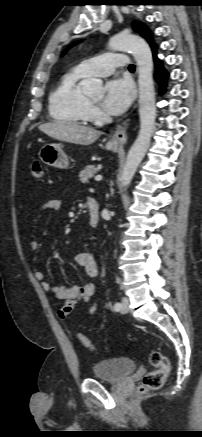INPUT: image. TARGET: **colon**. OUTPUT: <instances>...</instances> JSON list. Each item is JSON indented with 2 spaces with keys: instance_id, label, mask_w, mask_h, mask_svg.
I'll return each mask as SVG.
<instances>
[{
  "instance_id": "5ec220e1",
  "label": "colon",
  "mask_w": 202,
  "mask_h": 437,
  "mask_svg": "<svg viewBox=\"0 0 202 437\" xmlns=\"http://www.w3.org/2000/svg\"><path fill=\"white\" fill-rule=\"evenodd\" d=\"M30 174L35 179L43 178L44 168L40 160H32L30 165ZM77 337L84 347L90 350L95 349L94 344L87 336L82 333H78ZM149 361L155 369L145 374L140 386L138 387L139 393H145L161 388L170 371V361L168 357L160 352H152L150 354Z\"/></svg>"
}]
</instances>
